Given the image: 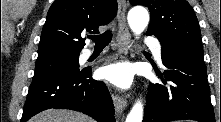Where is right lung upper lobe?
<instances>
[{"label": "right lung upper lobe", "mask_w": 221, "mask_h": 122, "mask_svg": "<svg viewBox=\"0 0 221 122\" xmlns=\"http://www.w3.org/2000/svg\"><path fill=\"white\" fill-rule=\"evenodd\" d=\"M116 13L117 0H55L42 29L37 60L79 55L85 45L81 34L98 33Z\"/></svg>", "instance_id": "cb5924a9"}]
</instances>
